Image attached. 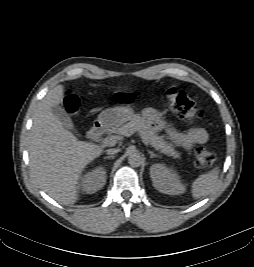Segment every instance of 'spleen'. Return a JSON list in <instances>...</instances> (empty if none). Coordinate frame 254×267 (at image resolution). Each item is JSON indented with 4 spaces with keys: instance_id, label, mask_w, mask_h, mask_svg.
<instances>
[{
    "instance_id": "obj_1",
    "label": "spleen",
    "mask_w": 254,
    "mask_h": 267,
    "mask_svg": "<svg viewBox=\"0 0 254 267\" xmlns=\"http://www.w3.org/2000/svg\"><path fill=\"white\" fill-rule=\"evenodd\" d=\"M218 168H214L208 173L201 174L192 183V196L195 199H199L209 195L215 188L218 182Z\"/></svg>"
}]
</instances>
